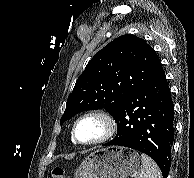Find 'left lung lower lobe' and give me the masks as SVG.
<instances>
[{"label": "left lung lower lobe", "instance_id": "0a47b994", "mask_svg": "<svg viewBox=\"0 0 194 178\" xmlns=\"http://www.w3.org/2000/svg\"><path fill=\"white\" fill-rule=\"evenodd\" d=\"M116 137L103 145L122 146L150 156L167 178L174 137V105L163 72L157 79L128 96L113 114Z\"/></svg>", "mask_w": 194, "mask_h": 178}]
</instances>
